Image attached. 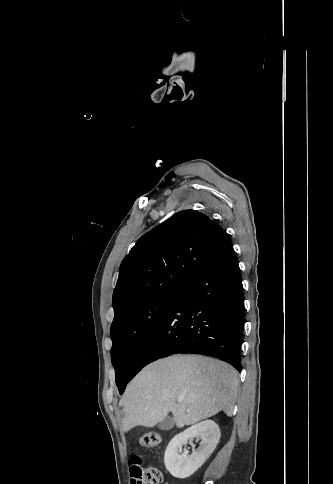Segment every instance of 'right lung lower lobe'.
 <instances>
[{
  "label": "right lung lower lobe",
  "instance_id": "98d812e1",
  "mask_svg": "<svg viewBox=\"0 0 333 484\" xmlns=\"http://www.w3.org/2000/svg\"><path fill=\"white\" fill-rule=\"evenodd\" d=\"M243 328L242 280L231 247L179 290L141 346L129 381L148 363L181 353L217 357L241 372Z\"/></svg>",
  "mask_w": 333,
  "mask_h": 484
}]
</instances>
